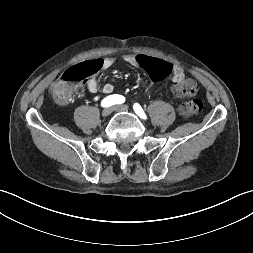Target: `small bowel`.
Returning <instances> with one entry per match:
<instances>
[{
	"instance_id": "small-bowel-1",
	"label": "small bowel",
	"mask_w": 253,
	"mask_h": 253,
	"mask_svg": "<svg viewBox=\"0 0 253 253\" xmlns=\"http://www.w3.org/2000/svg\"><path fill=\"white\" fill-rule=\"evenodd\" d=\"M137 55L138 54H128V55L124 56V61L133 67L140 68V65H138L135 62V57ZM98 61L100 62V69H103V70H107V69L111 68L115 63V59L113 57H106L104 59H98ZM170 75H171L170 76L171 81L176 83L180 78H182L184 76V70L180 66H177V65L172 66L171 65ZM86 86H87V89L89 90V92H91V93H96L99 88L98 82H97L96 78H94V77L90 78L86 82ZM113 90H114V86L110 83H106L102 87V91L105 94H111L113 92Z\"/></svg>"
}]
</instances>
